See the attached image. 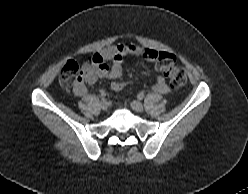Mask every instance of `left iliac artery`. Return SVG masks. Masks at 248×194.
Wrapping results in <instances>:
<instances>
[{"label":"left iliac artery","instance_id":"obj_1","mask_svg":"<svg viewBox=\"0 0 248 194\" xmlns=\"http://www.w3.org/2000/svg\"><path fill=\"white\" fill-rule=\"evenodd\" d=\"M137 98L140 99V100H142L144 98V94L143 93H139L137 95Z\"/></svg>","mask_w":248,"mask_h":194}]
</instances>
